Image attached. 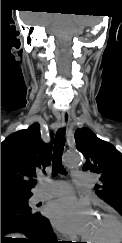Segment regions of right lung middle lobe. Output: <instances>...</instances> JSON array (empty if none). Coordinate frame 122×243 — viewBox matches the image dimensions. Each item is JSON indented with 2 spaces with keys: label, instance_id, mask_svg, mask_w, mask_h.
Returning <instances> with one entry per match:
<instances>
[{
  "label": "right lung middle lobe",
  "instance_id": "right-lung-middle-lobe-1",
  "mask_svg": "<svg viewBox=\"0 0 122 243\" xmlns=\"http://www.w3.org/2000/svg\"><path fill=\"white\" fill-rule=\"evenodd\" d=\"M30 197L31 196L1 200V204L10 203V204H15V205L28 206V200H29Z\"/></svg>",
  "mask_w": 122,
  "mask_h": 243
}]
</instances>
